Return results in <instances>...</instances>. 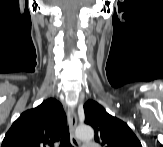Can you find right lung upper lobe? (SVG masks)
Masks as SVG:
<instances>
[{"label": "right lung upper lobe", "instance_id": "cb5924a9", "mask_svg": "<svg viewBox=\"0 0 163 147\" xmlns=\"http://www.w3.org/2000/svg\"><path fill=\"white\" fill-rule=\"evenodd\" d=\"M66 125V114L55 99L23 112L5 135L2 147H53Z\"/></svg>", "mask_w": 163, "mask_h": 147}]
</instances>
